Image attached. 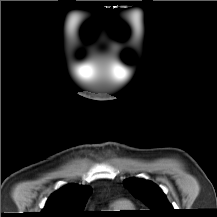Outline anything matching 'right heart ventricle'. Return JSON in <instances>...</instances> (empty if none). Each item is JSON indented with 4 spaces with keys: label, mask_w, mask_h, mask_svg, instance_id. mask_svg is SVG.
Wrapping results in <instances>:
<instances>
[{
    "label": "right heart ventricle",
    "mask_w": 217,
    "mask_h": 217,
    "mask_svg": "<svg viewBox=\"0 0 217 217\" xmlns=\"http://www.w3.org/2000/svg\"><path fill=\"white\" fill-rule=\"evenodd\" d=\"M109 209L113 212H123L127 210H132L133 205L126 200H118L109 205Z\"/></svg>",
    "instance_id": "right-heart-ventricle-1"
}]
</instances>
